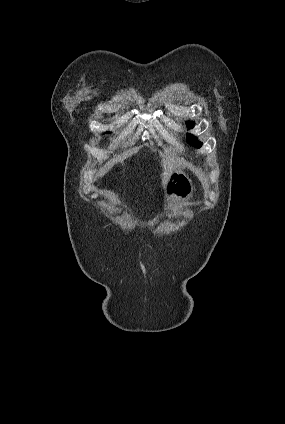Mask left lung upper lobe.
<instances>
[{"mask_svg": "<svg viewBox=\"0 0 285 424\" xmlns=\"http://www.w3.org/2000/svg\"><path fill=\"white\" fill-rule=\"evenodd\" d=\"M187 126H188V128L191 129V128H193L194 123L193 122H188L187 123ZM187 142L189 144H191L192 146H195V147H200L202 145V143L199 142L198 139L196 137H194L193 135H191V134H187Z\"/></svg>", "mask_w": 285, "mask_h": 424, "instance_id": "5c2ea615", "label": "left lung upper lobe"}]
</instances>
